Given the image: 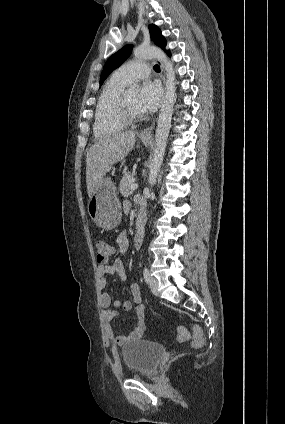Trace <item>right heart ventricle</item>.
<instances>
[{"label": "right heart ventricle", "instance_id": "1", "mask_svg": "<svg viewBox=\"0 0 285 424\" xmlns=\"http://www.w3.org/2000/svg\"><path fill=\"white\" fill-rule=\"evenodd\" d=\"M127 83L114 75L106 82L97 101L93 131L96 138H105L122 131L126 124L115 114L117 101Z\"/></svg>", "mask_w": 285, "mask_h": 424}]
</instances>
